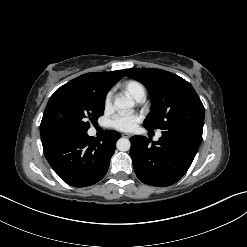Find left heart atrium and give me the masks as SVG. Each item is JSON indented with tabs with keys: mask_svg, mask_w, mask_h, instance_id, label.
Returning a JSON list of instances; mask_svg holds the SVG:
<instances>
[{
	"mask_svg": "<svg viewBox=\"0 0 247 247\" xmlns=\"http://www.w3.org/2000/svg\"><path fill=\"white\" fill-rule=\"evenodd\" d=\"M140 118L136 114L130 113H119L114 116L112 125L121 131H131L134 129Z\"/></svg>",
	"mask_w": 247,
	"mask_h": 247,
	"instance_id": "1",
	"label": "left heart atrium"
}]
</instances>
